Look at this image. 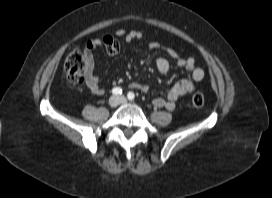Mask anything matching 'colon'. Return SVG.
<instances>
[{"label":"colon","instance_id":"colon-1","mask_svg":"<svg viewBox=\"0 0 272 198\" xmlns=\"http://www.w3.org/2000/svg\"><path fill=\"white\" fill-rule=\"evenodd\" d=\"M65 75L67 80L73 85H79L84 81L86 63L83 51L75 47L67 54L64 63ZM192 103L200 108L204 104V96L197 92L192 96Z\"/></svg>","mask_w":272,"mask_h":198}]
</instances>
